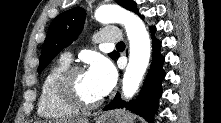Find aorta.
Listing matches in <instances>:
<instances>
[{"mask_svg": "<svg viewBox=\"0 0 221 123\" xmlns=\"http://www.w3.org/2000/svg\"><path fill=\"white\" fill-rule=\"evenodd\" d=\"M95 18L100 23H120L125 27L130 54L123 76L122 91L124 97L129 99L137 92L149 64L151 53L149 34L137 15L116 5L99 7L95 12Z\"/></svg>", "mask_w": 221, "mask_h": 123, "instance_id": "obj_1", "label": "aorta"}]
</instances>
